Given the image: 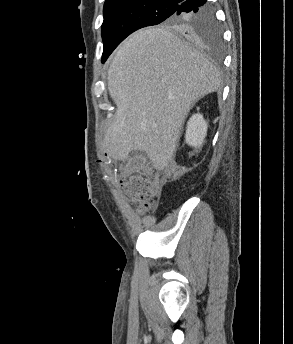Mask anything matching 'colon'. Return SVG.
Instances as JSON below:
<instances>
[{
  "label": "colon",
  "instance_id": "1",
  "mask_svg": "<svg viewBox=\"0 0 293 344\" xmlns=\"http://www.w3.org/2000/svg\"><path fill=\"white\" fill-rule=\"evenodd\" d=\"M127 192L141 212H148L156 199V181L153 177L134 176L127 184Z\"/></svg>",
  "mask_w": 293,
  "mask_h": 344
}]
</instances>
